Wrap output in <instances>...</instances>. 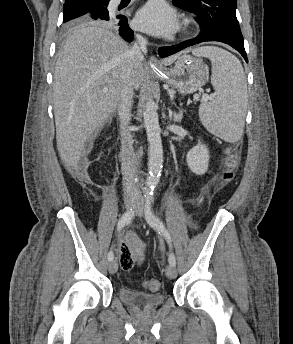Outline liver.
<instances>
[{
	"instance_id": "obj_1",
	"label": "liver",
	"mask_w": 293,
	"mask_h": 344,
	"mask_svg": "<svg viewBox=\"0 0 293 344\" xmlns=\"http://www.w3.org/2000/svg\"><path fill=\"white\" fill-rule=\"evenodd\" d=\"M130 50L117 34L93 25L78 28L65 42L54 70L53 99L57 149L66 167L77 166L85 143L116 111ZM180 55L163 63L170 65ZM145 80L141 64L134 88Z\"/></svg>"
}]
</instances>
